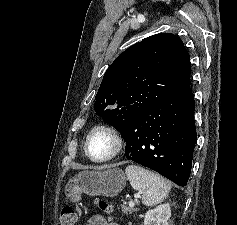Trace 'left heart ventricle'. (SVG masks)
Listing matches in <instances>:
<instances>
[{
    "mask_svg": "<svg viewBox=\"0 0 237 225\" xmlns=\"http://www.w3.org/2000/svg\"><path fill=\"white\" fill-rule=\"evenodd\" d=\"M112 148L110 138L104 134L95 135L90 142V152L95 157L105 156Z\"/></svg>",
    "mask_w": 237,
    "mask_h": 225,
    "instance_id": "obj_1",
    "label": "left heart ventricle"
}]
</instances>
